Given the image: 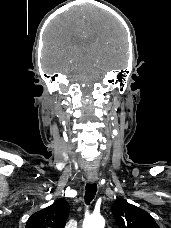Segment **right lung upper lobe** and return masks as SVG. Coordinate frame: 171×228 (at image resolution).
I'll use <instances>...</instances> for the list:
<instances>
[{"mask_svg": "<svg viewBox=\"0 0 171 228\" xmlns=\"http://www.w3.org/2000/svg\"><path fill=\"white\" fill-rule=\"evenodd\" d=\"M69 215V205L65 200H57L45 209L34 213L25 228H64Z\"/></svg>", "mask_w": 171, "mask_h": 228, "instance_id": "1", "label": "right lung upper lobe"}]
</instances>
